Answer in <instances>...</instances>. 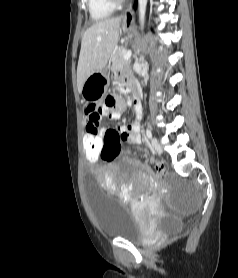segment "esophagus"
Masks as SVG:
<instances>
[{"instance_id": "obj_1", "label": "esophagus", "mask_w": 238, "mask_h": 278, "mask_svg": "<svg viewBox=\"0 0 238 278\" xmlns=\"http://www.w3.org/2000/svg\"><path fill=\"white\" fill-rule=\"evenodd\" d=\"M123 22L127 25H131L134 22V12L132 6H130L123 15Z\"/></svg>"}]
</instances>
